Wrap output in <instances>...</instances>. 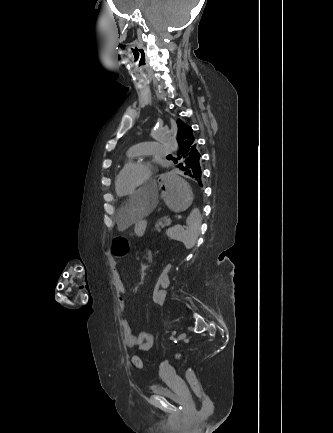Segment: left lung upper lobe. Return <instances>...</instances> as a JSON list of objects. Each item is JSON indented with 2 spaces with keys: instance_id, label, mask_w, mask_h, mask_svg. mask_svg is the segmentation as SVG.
I'll use <instances>...</instances> for the list:
<instances>
[{
  "instance_id": "5c2ea615",
  "label": "left lung upper lobe",
  "mask_w": 333,
  "mask_h": 433,
  "mask_svg": "<svg viewBox=\"0 0 333 433\" xmlns=\"http://www.w3.org/2000/svg\"><path fill=\"white\" fill-rule=\"evenodd\" d=\"M178 123V134L177 141L179 144V149L184 147L186 143H193L195 138L192 134V128L186 124H184L181 120H177Z\"/></svg>"
}]
</instances>
